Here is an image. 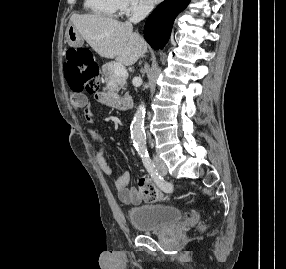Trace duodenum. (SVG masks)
Listing matches in <instances>:
<instances>
[{"instance_id": "obj_1", "label": "duodenum", "mask_w": 286, "mask_h": 269, "mask_svg": "<svg viewBox=\"0 0 286 269\" xmlns=\"http://www.w3.org/2000/svg\"><path fill=\"white\" fill-rule=\"evenodd\" d=\"M118 106L122 109V110H129L132 108V102L129 100H121L118 102Z\"/></svg>"}]
</instances>
